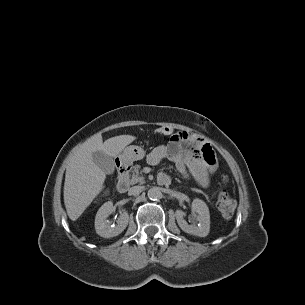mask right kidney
Returning a JSON list of instances; mask_svg holds the SVG:
<instances>
[{
    "instance_id": "1",
    "label": "right kidney",
    "mask_w": 305,
    "mask_h": 305,
    "mask_svg": "<svg viewBox=\"0 0 305 305\" xmlns=\"http://www.w3.org/2000/svg\"><path fill=\"white\" fill-rule=\"evenodd\" d=\"M114 207L111 201L104 203L98 210L95 217L96 233L104 238L119 235L128 225L129 215L127 212L120 214L117 224H112L107 218L113 212Z\"/></svg>"
}]
</instances>
